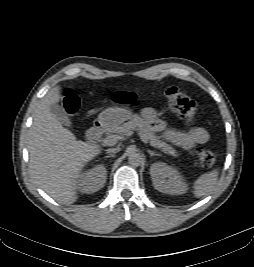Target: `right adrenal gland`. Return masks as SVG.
<instances>
[{
    "instance_id": "obj_1",
    "label": "right adrenal gland",
    "mask_w": 254,
    "mask_h": 267,
    "mask_svg": "<svg viewBox=\"0 0 254 267\" xmlns=\"http://www.w3.org/2000/svg\"><path fill=\"white\" fill-rule=\"evenodd\" d=\"M110 157H115V155L114 154H110V155L105 156V158H110Z\"/></svg>"
}]
</instances>
